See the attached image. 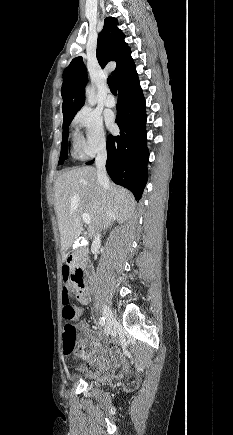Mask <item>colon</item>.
I'll list each match as a JSON object with an SVG mask.
<instances>
[{"instance_id":"5ec220e1","label":"colon","mask_w":233,"mask_h":435,"mask_svg":"<svg viewBox=\"0 0 233 435\" xmlns=\"http://www.w3.org/2000/svg\"><path fill=\"white\" fill-rule=\"evenodd\" d=\"M63 282L68 285H74L79 282V279L68 266L63 269ZM63 304L62 348L65 353L78 357L81 354L80 349L77 348L78 333L75 324L78 309L71 304L69 297L63 298Z\"/></svg>"}]
</instances>
